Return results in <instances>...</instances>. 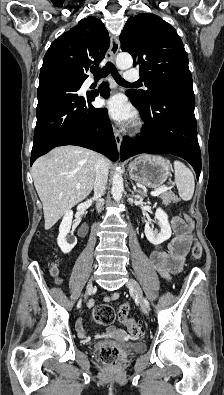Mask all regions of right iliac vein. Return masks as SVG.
Returning <instances> with one entry per match:
<instances>
[{
  "instance_id": "63e3f726",
  "label": "right iliac vein",
  "mask_w": 224,
  "mask_h": 395,
  "mask_svg": "<svg viewBox=\"0 0 224 395\" xmlns=\"http://www.w3.org/2000/svg\"><path fill=\"white\" fill-rule=\"evenodd\" d=\"M92 290H93V283H92V281H89L87 288H86V296H85L86 299L91 294Z\"/></svg>"
}]
</instances>
